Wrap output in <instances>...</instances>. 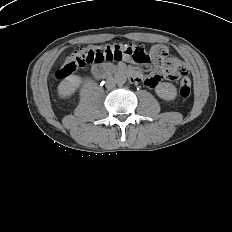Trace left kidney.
Wrapping results in <instances>:
<instances>
[{"mask_svg": "<svg viewBox=\"0 0 232 232\" xmlns=\"http://www.w3.org/2000/svg\"><path fill=\"white\" fill-rule=\"evenodd\" d=\"M156 94L163 100H174L177 96V89L172 83L163 82L156 86Z\"/></svg>", "mask_w": 232, "mask_h": 232, "instance_id": "5707ae66", "label": "left kidney"}]
</instances>
